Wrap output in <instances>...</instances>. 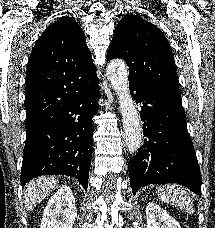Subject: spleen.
Instances as JSON below:
<instances>
[{"mask_svg":"<svg viewBox=\"0 0 215 228\" xmlns=\"http://www.w3.org/2000/svg\"><path fill=\"white\" fill-rule=\"evenodd\" d=\"M159 200L172 204V206H179L180 210L193 214L194 208L191 198L187 196L184 188H180L177 184H168V186H159L157 188Z\"/></svg>","mask_w":215,"mask_h":228,"instance_id":"obj_1","label":"spleen"}]
</instances>
